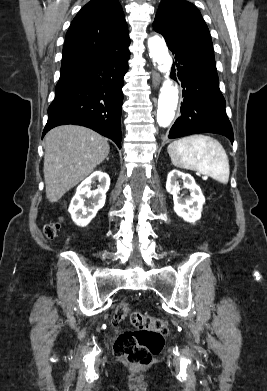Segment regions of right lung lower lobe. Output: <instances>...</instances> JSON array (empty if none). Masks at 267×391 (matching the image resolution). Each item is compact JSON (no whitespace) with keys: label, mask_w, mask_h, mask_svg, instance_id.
Here are the masks:
<instances>
[{"label":"right lung lower lobe","mask_w":267,"mask_h":391,"mask_svg":"<svg viewBox=\"0 0 267 391\" xmlns=\"http://www.w3.org/2000/svg\"><path fill=\"white\" fill-rule=\"evenodd\" d=\"M129 56L127 48L61 72L42 137L56 126L75 124L97 131L121 148V88Z\"/></svg>","instance_id":"98d812e1"}]
</instances>
